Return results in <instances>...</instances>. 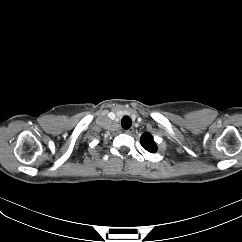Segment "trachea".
Returning a JSON list of instances; mask_svg holds the SVG:
<instances>
[{"label":"trachea","instance_id":"3493384b","mask_svg":"<svg viewBox=\"0 0 242 242\" xmlns=\"http://www.w3.org/2000/svg\"><path fill=\"white\" fill-rule=\"evenodd\" d=\"M132 125V120L129 116H124L121 120V126L124 129H129Z\"/></svg>","mask_w":242,"mask_h":242}]
</instances>
